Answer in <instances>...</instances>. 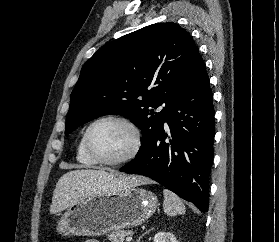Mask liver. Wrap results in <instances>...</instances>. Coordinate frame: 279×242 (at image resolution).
<instances>
[{
  "instance_id": "liver-1",
  "label": "liver",
  "mask_w": 279,
  "mask_h": 242,
  "mask_svg": "<svg viewBox=\"0 0 279 242\" xmlns=\"http://www.w3.org/2000/svg\"><path fill=\"white\" fill-rule=\"evenodd\" d=\"M150 183L140 176H116L103 170L78 169L65 173L58 180L53 192L50 213L61 212L78 200L110 191Z\"/></svg>"
}]
</instances>
